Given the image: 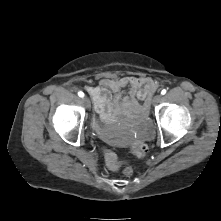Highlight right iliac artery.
Masks as SVG:
<instances>
[{
	"label": "right iliac artery",
	"instance_id": "obj_1",
	"mask_svg": "<svg viewBox=\"0 0 221 221\" xmlns=\"http://www.w3.org/2000/svg\"><path fill=\"white\" fill-rule=\"evenodd\" d=\"M78 96H79V97H84V93H83L82 91H79V92H78Z\"/></svg>",
	"mask_w": 221,
	"mask_h": 221
}]
</instances>
